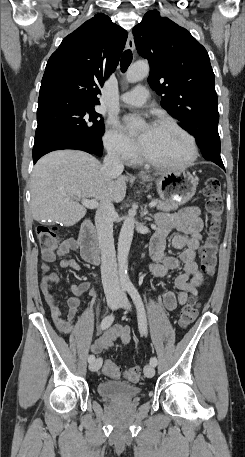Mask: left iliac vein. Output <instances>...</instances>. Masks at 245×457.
<instances>
[{"instance_id": "1", "label": "left iliac vein", "mask_w": 245, "mask_h": 457, "mask_svg": "<svg viewBox=\"0 0 245 457\" xmlns=\"http://www.w3.org/2000/svg\"><path fill=\"white\" fill-rule=\"evenodd\" d=\"M121 297H122V300L120 302V307L121 308H125V309L129 308V301L126 298V295L122 294ZM144 374L148 378L153 377L154 374H155L154 366L151 365V364L150 365H146L145 368H144Z\"/></svg>"}]
</instances>
